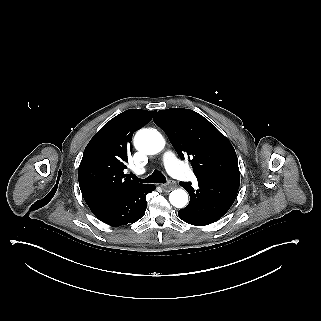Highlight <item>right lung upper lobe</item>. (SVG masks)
I'll use <instances>...</instances> for the list:
<instances>
[{
	"label": "right lung upper lobe",
	"mask_w": 321,
	"mask_h": 321,
	"mask_svg": "<svg viewBox=\"0 0 321 321\" xmlns=\"http://www.w3.org/2000/svg\"><path fill=\"white\" fill-rule=\"evenodd\" d=\"M156 111L129 109L108 121L86 146L78 169L82 195L90 207L126 195L143 184L126 177L133 133Z\"/></svg>",
	"instance_id": "1"
}]
</instances>
